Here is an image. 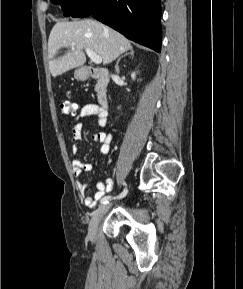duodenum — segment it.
Segmentation results:
<instances>
[{"label":"duodenum","instance_id":"obj_1","mask_svg":"<svg viewBox=\"0 0 243 289\" xmlns=\"http://www.w3.org/2000/svg\"><path fill=\"white\" fill-rule=\"evenodd\" d=\"M84 73L87 77L95 79L98 82L97 101L103 109L108 107L107 87L109 83V73L106 69L96 67H86Z\"/></svg>","mask_w":243,"mask_h":289}]
</instances>
